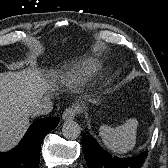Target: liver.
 Returning a JSON list of instances; mask_svg holds the SVG:
<instances>
[{"instance_id":"obj_1","label":"liver","mask_w":168,"mask_h":168,"mask_svg":"<svg viewBox=\"0 0 168 168\" xmlns=\"http://www.w3.org/2000/svg\"><path fill=\"white\" fill-rule=\"evenodd\" d=\"M55 90L54 82L32 67L0 73V152L21 140L30 124L31 109Z\"/></svg>"}]
</instances>
